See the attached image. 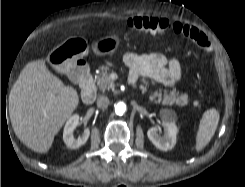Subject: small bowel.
<instances>
[{"label": "small bowel", "mask_w": 245, "mask_h": 187, "mask_svg": "<svg viewBox=\"0 0 245 187\" xmlns=\"http://www.w3.org/2000/svg\"><path fill=\"white\" fill-rule=\"evenodd\" d=\"M124 63L129 68V80L132 83L146 77L152 85L172 86L181 78L179 62L167 59L162 54L128 53L124 56Z\"/></svg>", "instance_id": "obj_1"}]
</instances>
